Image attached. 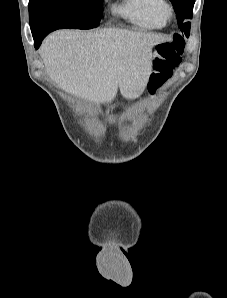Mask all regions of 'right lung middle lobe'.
I'll return each mask as SVG.
<instances>
[{
  "instance_id": "1",
  "label": "right lung middle lobe",
  "mask_w": 227,
  "mask_h": 298,
  "mask_svg": "<svg viewBox=\"0 0 227 298\" xmlns=\"http://www.w3.org/2000/svg\"><path fill=\"white\" fill-rule=\"evenodd\" d=\"M103 0H29L32 34L61 28L91 29L102 19Z\"/></svg>"
}]
</instances>
